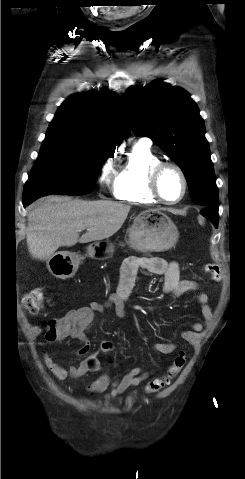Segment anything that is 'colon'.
<instances>
[{
  "label": "colon",
  "mask_w": 245,
  "mask_h": 479,
  "mask_svg": "<svg viewBox=\"0 0 245 479\" xmlns=\"http://www.w3.org/2000/svg\"><path fill=\"white\" fill-rule=\"evenodd\" d=\"M206 273L213 279L219 276V268L217 265L208 263L205 265ZM47 298L45 292L41 288H35L28 292L22 300L23 308L32 314L38 313L44 306ZM67 334V325L57 319L47 322L45 338L47 340H56L64 338ZM186 363L184 352L178 353L168 367L165 374L151 379L144 387L146 394H156L168 387L171 381L181 372Z\"/></svg>",
  "instance_id": "1"
}]
</instances>
